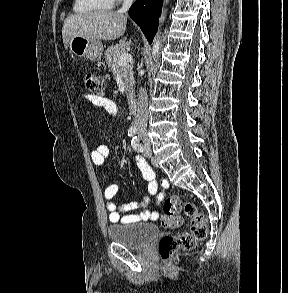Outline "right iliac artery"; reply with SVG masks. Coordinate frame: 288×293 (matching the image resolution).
<instances>
[{"mask_svg": "<svg viewBox=\"0 0 288 293\" xmlns=\"http://www.w3.org/2000/svg\"><path fill=\"white\" fill-rule=\"evenodd\" d=\"M137 132V128L136 127H130L129 130H128V136H134Z\"/></svg>", "mask_w": 288, "mask_h": 293, "instance_id": "82829eb1", "label": "right iliac artery"}]
</instances>
